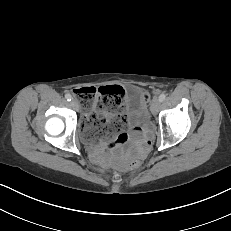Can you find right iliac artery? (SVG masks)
<instances>
[{
    "label": "right iliac artery",
    "mask_w": 231,
    "mask_h": 231,
    "mask_svg": "<svg viewBox=\"0 0 231 231\" xmlns=\"http://www.w3.org/2000/svg\"><path fill=\"white\" fill-rule=\"evenodd\" d=\"M65 98L67 99V101H71L72 96H71L70 94H66V95H65Z\"/></svg>",
    "instance_id": "1"
}]
</instances>
